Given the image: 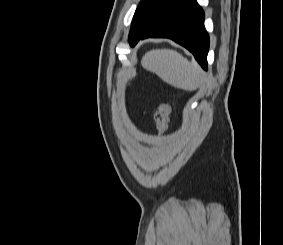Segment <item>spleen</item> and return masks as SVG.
<instances>
[{"mask_svg":"<svg viewBox=\"0 0 283 245\" xmlns=\"http://www.w3.org/2000/svg\"><path fill=\"white\" fill-rule=\"evenodd\" d=\"M141 65L178 89L194 91L203 83V72L199 65L172 49L147 52L142 57Z\"/></svg>","mask_w":283,"mask_h":245,"instance_id":"spleen-1","label":"spleen"}]
</instances>
